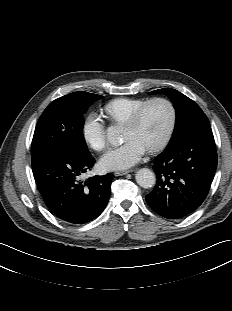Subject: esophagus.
Returning <instances> with one entry per match:
<instances>
[{
  "label": "esophagus",
  "instance_id": "obj_1",
  "mask_svg": "<svg viewBox=\"0 0 232 311\" xmlns=\"http://www.w3.org/2000/svg\"><path fill=\"white\" fill-rule=\"evenodd\" d=\"M130 172H132V170L116 171L114 174H115V176H122V175H126Z\"/></svg>",
  "mask_w": 232,
  "mask_h": 311
}]
</instances>
